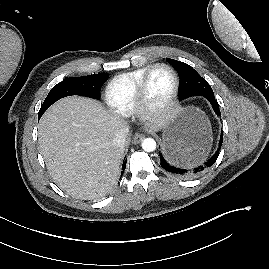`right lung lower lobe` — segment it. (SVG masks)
I'll list each match as a JSON object with an SVG mask.
<instances>
[{
    "label": "right lung lower lobe",
    "mask_w": 269,
    "mask_h": 269,
    "mask_svg": "<svg viewBox=\"0 0 269 269\" xmlns=\"http://www.w3.org/2000/svg\"><path fill=\"white\" fill-rule=\"evenodd\" d=\"M126 163H127V159H125L124 162H123V164H122V173L121 174H123V172L125 170Z\"/></svg>",
    "instance_id": "98d812e1"
}]
</instances>
